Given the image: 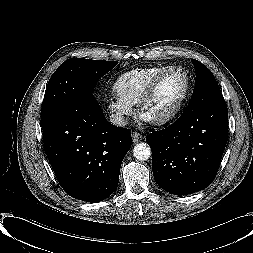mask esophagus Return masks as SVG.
<instances>
[{"instance_id":"obj_1","label":"esophagus","mask_w":253,"mask_h":253,"mask_svg":"<svg viewBox=\"0 0 253 253\" xmlns=\"http://www.w3.org/2000/svg\"><path fill=\"white\" fill-rule=\"evenodd\" d=\"M131 136H132V141L134 143H137V142L141 141L144 138V135L137 132V131L132 132Z\"/></svg>"}]
</instances>
